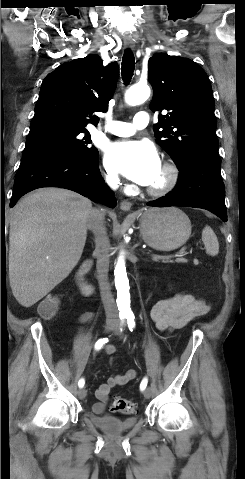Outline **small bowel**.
<instances>
[{
    "mask_svg": "<svg viewBox=\"0 0 245 479\" xmlns=\"http://www.w3.org/2000/svg\"><path fill=\"white\" fill-rule=\"evenodd\" d=\"M210 305L192 294L179 293L173 297L157 301L150 311V317L156 327L161 331H170L186 325L193 318L207 313ZM91 319L90 313H84L80 317L81 322H88ZM105 354L112 355L116 348L112 345L105 347ZM137 371L127 370L124 374L113 375L107 382L100 385L96 390L97 402L91 407L95 414H102L106 408L110 390L122 386L136 379Z\"/></svg>",
    "mask_w": 245,
    "mask_h": 479,
    "instance_id": "obj_1",
    "label": "small bowel"
}]
</instances>
